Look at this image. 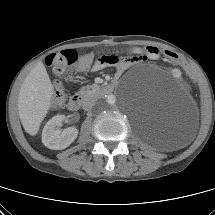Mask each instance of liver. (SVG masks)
<instances>
[{
	"mask_svg": "<svg viewBox=\"0 0 215 215\" xmlns=\"http://www.w3.org/2000/svg\"><path fill=\"white\" fill-rule=\"evenodd\" d=\"M53 86L40 61L26 76L18 96V113L24 130L35 136L51 106Z\"/></svg>",
	"mask_w": 215,
	"mask_h": 215,
	"instance_id": "obj_1",
	"label": "liver"
}]
</instances>
